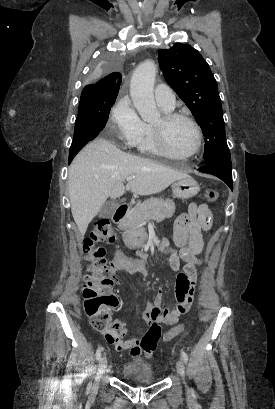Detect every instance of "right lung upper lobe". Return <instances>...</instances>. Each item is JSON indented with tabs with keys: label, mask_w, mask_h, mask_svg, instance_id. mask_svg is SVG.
<instances>
[{
	"label": "right lung upper lobe",
	"mask_w": 275,
	"mask_h": 409,
	"mask_svg": "<svg viewBox=\"0 0 275 409\" xmlns=\"http://www.w3.org/2000/svg\"><path fill=\"white\" fill-rule=\"evenodd\" d=\"M122 76L120 73H111L98 81L97 85H87L81 97L89 99H116Z\"/></svg>",
	"instance_id": "1"
}]
</instances>
